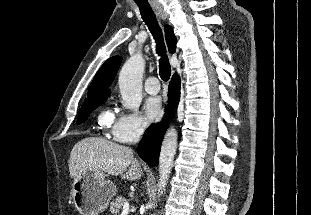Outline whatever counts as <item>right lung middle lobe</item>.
Wrapping results in <instances>:
<instances>
[{
	"label": "right lung middle lobe",
	"instance_id": "obj_1",
	"mask_svg": "<svg viewBox=\"0 0 311 215\" xmlns=\"http://www.w3.org/2000/svg\"><path fill=\"white\" fill-rule=\"evenodd\" d=\"M107 97L108 96H103L86 100L79 111L77 123H83L89 116L90 112L105 102Z\"/></svg>",
	"mask_w": 311,
	"mask_h": 215
}]
</instances>
